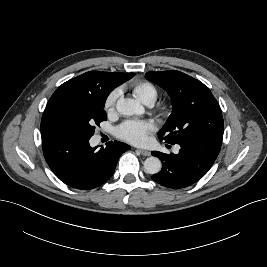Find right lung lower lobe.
<instances>
[{"mask_svg":"<svg viewBox=\"0 0 267 267\" xmlns=\"http://www.w3.org/2000/svg\"><path fill=\"white\" fill-rule=\"evenodd\" d=\"M43 154L53 173L70 187L94 189L113 175L118 159L130 146L109 142L106 147L92 148L87 137L52 128H41Z\"/></svg>","mask_w":267,"mask_h":267,"instance_id":"right-lung-lower-lobe-1","label":"right lung lower lobe"}]
</instances>
